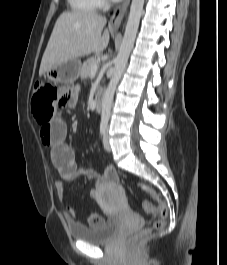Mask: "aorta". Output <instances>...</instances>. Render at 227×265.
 <instances>
[{"label":"aorta","mask_w":227,"mask_h":265,"mask_svg":"<svg viewBox=\"0 0 227 265\" xmlns=\"http://www.w3.org/2000/svg\"><path fill=\"white\" fill-rule=\"evenodd\" d=\"M143 5L144 0H132L123 41L121 43L120 51L115 61L114 72L103 97L101 113L102 123H108L110 119L115 89L122 76L130 52L133 48L139 27L140 17L143 11Z\"/></svg>","instance_id":"762f6f07"}]
</instances>
